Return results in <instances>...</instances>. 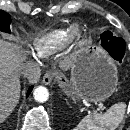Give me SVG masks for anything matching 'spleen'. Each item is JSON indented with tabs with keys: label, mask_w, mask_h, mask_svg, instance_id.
Masks as SVG:
<instances>
[{
	"label": "spleen",
	"mask_w": 130,
	"mask_h": 130,
	"mask_svg": "<svg viewBox=\"0 0 130 130\" xmlns=\"http://www.w3.org/2000/svg\"><path fill=\"white\" fill-rule=\"evenodd\" d=\"M125 110V103L114 104L105 114L87 115L73 130H114L122 121Z\"/></svg>",
	"instance_id": "3e777b00"
}]
</instances>
